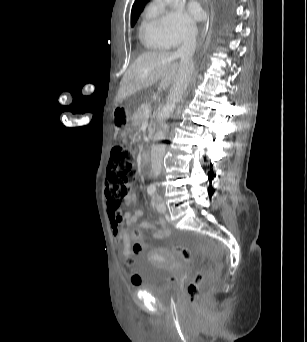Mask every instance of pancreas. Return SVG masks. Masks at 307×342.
<instances>
[{"mask_svg": "<svg viewBox=\"0 0 307 342\" xmlns=\"http://www.w3.org/2000/svg\"><path fill=\"white\" fill-rule=\"evenodd\" d=\"M150 107L151 106H149V104H141L137 114H135V118H137V120H140V118H143L146 108H150Z\"/></svg>", "mask_w": 307, "mask_h": 342, "instance_id": "cf45deb5", "label": "pancreas"}]
</instances>
